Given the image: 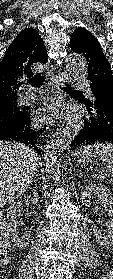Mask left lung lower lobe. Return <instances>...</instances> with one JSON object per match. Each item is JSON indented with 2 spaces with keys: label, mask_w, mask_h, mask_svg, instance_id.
<instances>
[{
  "label": "left lung lower lobe",
  "mask_w": 113,
  "mask_h": 279,
  "mask_svg": "<svg viewBox=\"0 0 113 279\" xmlns=\"http://www.w3.org/2000/svg\"><path fill=\"white\" fill-rule=\"evenodd\" d=\"M93 92L92 100H86L82 96L78 99L85 103L87 113L84 118L83 130L72 141L74 149L82 144H94L95 142L113 143V94L96 86H90Z\"/></svg>",
  "instance_id": "left-lung-lower-lobe-1"
}]
</instances>
